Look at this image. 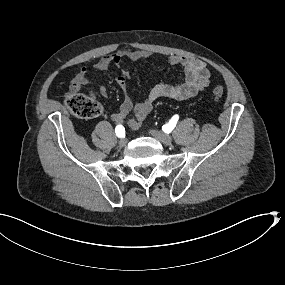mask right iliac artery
<instances>
[{
	"label": "right iliac artery",
	"mask_w": 285,
	"mask_h": 285,
	"mask_svg": "<svg viewBox=\"0 0 285 285\" xmlns=\"http://www.w3.org/2000/svg\"><path fill=\"white\" fill-rule=\"evenodd\" d=\"M115 133L118 137L125 136V128L122 125H117L115 128Z\"/></svg>",
	"instance_id": "1"
}]
</instances>
